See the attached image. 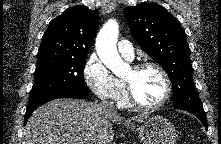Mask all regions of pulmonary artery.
<instances>
[{"label":"pulmonary artery","instance_id":"1","mask_svg":"<svg viewBox=\"0 0 221 144\" xmlns=\"http://www.w3.org/2000/svg\"><path fill=\"white\" fill-rule=\"evenodd\" d=\"M119 53L127 60H133L134 58V48L128 40H120L118 42Z\"/></svg>","mask_w":221,"mask_h":144}]
</instances>
